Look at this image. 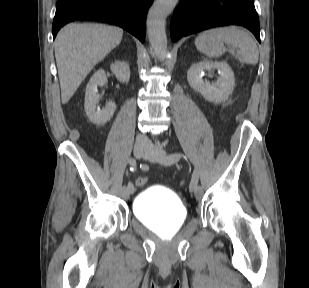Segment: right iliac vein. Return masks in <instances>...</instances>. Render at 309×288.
Here are the masks:
<instances>
[{
    "label": "right iliac vein",
    "mask_w": 309,
    "mask_h": 288,
    "mask_svg": "<svg viewBox=\"0 0 309 288\" xmlns=\"http://www.w3.org/2000/svg\"><path fill=\"white\" fill-rule=\"evenodd\" d=\"M147 153H148V150L146 148H143L142 146H139V145L134 146L133 154L135 158L139 159L141 157H144ZM133 193H134V190L132 191L126 190L124 195L125 197H128L130 194H133Z\"/></svg>",
    "instance_id": "right-iliac-vein-1"
}]
</instances>
